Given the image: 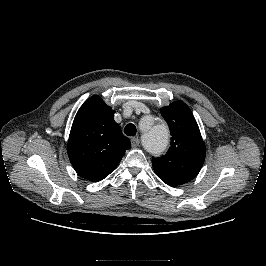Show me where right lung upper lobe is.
<instances>
[{
  "instance_id": "obj_1",
  "label": "right lung upper lobe",
  "mask_w": 266,
  "mask_h": 266,
  "mask_svg": "<svg viewBox=\"0 0 266 266\" xmlns=\"http://www.w3.org/2000/svg\"><path fill=\"white\" fill-rule=\"evenodd\" d=\"M130 147L112 108L98 95L87 99L75 116L68 140V156L76 172L89 181H101Z\"/></svg>"
}]
</instances>
